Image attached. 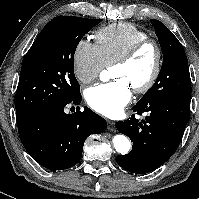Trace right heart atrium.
<instances>
[{
    "instance_id": "obj_1",
    "label": "right heart atrium",
    "mask_w": 199,
    "mask_h": 199,
    "mask_svg": "<svg viewBox=\"0 0 199 199\" xmlns=\"http://www.w3.org/2000/svg\"><path fill=\"white\" fill-rule=\"evenodd\" d=\"M72 63L74 74L82 83H90L105 68L98 45L84 39L77 43Z\"/></svg>"
}]
</instances>
